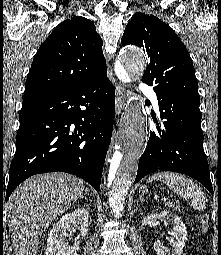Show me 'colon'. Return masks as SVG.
Returning <instances> with one entry per match:
<instances>
[{"label":"colon","instance_id":"1","mask_svg":"<svg viewBox=\"0 0 221 255\" xmlns=\"http://www.w3.org/2000/svg\"><path fill=\"white\" fill-rule=\"evenodd\" d=\"M207 223H208V217L206 214H202L200 216V224L202 226L203 229H205L207 227Z\"/></svg>","mask_w":221,"mask_h":255}]
</instances>
